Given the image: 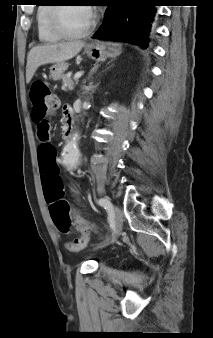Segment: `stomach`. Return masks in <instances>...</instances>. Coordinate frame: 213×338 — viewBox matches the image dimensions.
<instances>
[{"label":"stomach","instance_id":"0dacf381","mask_svg":"<svg viewBox=\"0 0 213 338\" xmlns=\"http://www.w3.org/2000/svg\"><path fill=\"white\" fill-rule=\"evenodd\" d=\"M84 52L95 61H103L109 57H116L121 53V47L113 43L93 42L85 46ZM68 68L65 62L54 63L50 67V77L57 81L61 79Z\"/></svg>","mask_w":213,"mask_h":338}]
</instances>
